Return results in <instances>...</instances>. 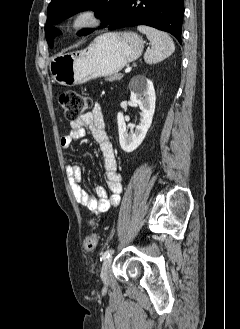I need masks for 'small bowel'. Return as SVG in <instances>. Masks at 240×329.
Instances as JSON below:
<instances>
[{"label": "small bowel", "instance_id": "c3829d8e", "mask_svg": "<svg viewBox=\"0 0 240 329\" xmlns=\"http://www.w3.org/2000/svg\"><path fill=\"white\" fill-rule=\"evenodd\" d=\"M90 130L102 157L107 179V189L98 186L95 195L88 193L82 186V170L77 164H68L66 172L72 193L76 201L85 206L92 215H100L116 206L122 191V177L117 167L113 146L108 138L101 105L94 103L91 110L71 121L70 131L61 137L60 145L68 150L73 141L79 140Z\"/></svg>", "mask_w": 240, "mask_h": 329}]
</instances>
